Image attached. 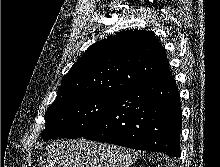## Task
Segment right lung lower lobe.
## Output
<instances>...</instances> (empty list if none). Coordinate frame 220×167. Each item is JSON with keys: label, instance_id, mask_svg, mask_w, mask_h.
Segmentation results:
<instances>
[{"label": "right lung lower lobe", "instance_id": "1", "mask_svg": "<svg viewBox=\"0 0 220 167\" xmlns=\"http://www.w3.org/2000/svg\"><path fill=\"white\" fill-rule=\"evenodd\" d=\"M181 125L180 96L169 74L117 94L81 137L178 157Z\"/></svg>", "mask_w": 220, "mask_h": 167}]
</instances>
